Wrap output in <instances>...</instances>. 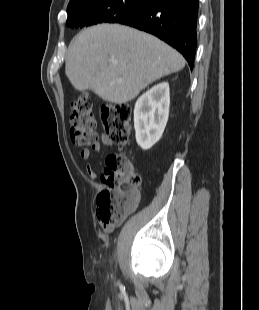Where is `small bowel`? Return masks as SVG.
Listing matches in <instances>:
<instances>
[{
    "label": "small bowel",
    "mask_w": 259,
    "mask_h": 310,
    "mask_svg": "<svg viewBox=\"0 0 259 310\" xmlns=\"http://www.w3.org/2000/svg\"><path fill=\"white\" fill-rule=\"evenodd\" d=\"M111 145H112V141L107 136H101L100 141H99V143H97V145H95L91 148H85V149L81 150L80 158L82 160L88 161L91 158L92 153L94 151H99L102 146H111ZM86 172H87L88 176L92 179H95L97 177L96 170L94 169V167L91 164L86 165ZM102 228L105 232H110L112 230L113 226L112 225H102Z\"/></svg>",
    "instance_id": "small-bowel-1"
}]
</instances>
